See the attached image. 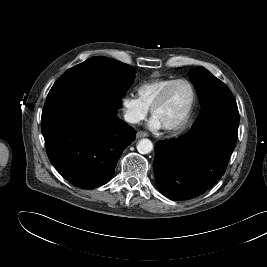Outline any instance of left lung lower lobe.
I'll use <instances>...</instances> for the list:
<instances>
[{
    "mask_svg": "<svg viewBox=\"0 0 267 267\" xmlns=\"http://www.w3.org/2000/svg\"><path fill=\"white\" fill-rule=\"evenodd\" d=\"M239 121L221 115L155 146L153 169L159 191L188 200L210 189L225 173L235 148Z\"/></svg>",
    "mask_w": 267,
    "mask_h": 267,
    "instance_id": "obj_1",
    "label": "left lung lower lobe"
}]
</instances>
